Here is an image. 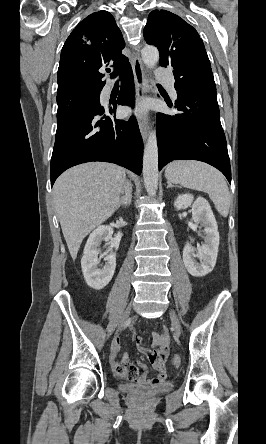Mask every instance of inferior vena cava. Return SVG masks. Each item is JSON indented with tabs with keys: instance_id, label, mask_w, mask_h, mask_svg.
Instances as JSON below:
<instances>
[{
	"instance_id": "inferior-vena-cava-1",
	"label": "inferior vena cava",
	"mask_w": 266,
	"mask_h": 444,
	"mask_svg": "<svg viewBox=\"0 0 266 444\" xmlns=\"http://www.w3.org/2000/svg\"><path fill=\"white\" fill-rule=\"evenodd\" d=\"M125 195L124 197L126 198L127 202L130 204L131 203V184L130 182H125L124 186H123V191H122Z\"/></svg>"
}]
</instances>
